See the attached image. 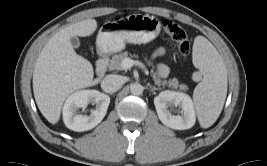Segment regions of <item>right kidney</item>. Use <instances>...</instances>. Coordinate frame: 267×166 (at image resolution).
I'll use <instances>...</instances> for the list:
<instances>
[{"mask_svg":"<svg viewBox=\"0 0 267 166\" xmlns=\"http://www.w3.org/2000/svg\"><path fill=\"white\" fill-rule=\"evenodd\" d=\"M89 103L96 104L90 116L79 115V108L85 109ZM110 103L109 96L97 90H80L70 95L63 107L65 125L77 132L87 131L97 126L104 118Z\"/></svg>","mask_w":267,"mask_h":166,"instance_id":"obj_1","label":"right kidney"}]
</instances>
